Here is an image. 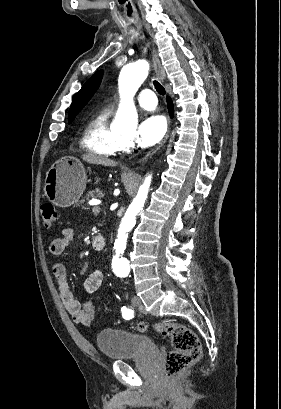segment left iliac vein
I'll use <instances>...</instances> for the list:
<instances>
[{"mask_svg":"<svg viewBox=\"0 0 281 409\" xmlns=\"http://www.w3.org/2000/svg\"><path fill=\"white\" fill-rule=\"evenodd\" d=\"M132 304H133V306L138 307V306L142 305V301L138 296L135 295L132 298Z\"/></svg>","mask_w":281,"mask_h":409,"instance_id":"obj_1","label":"left iliac vein"}]
</instances>
